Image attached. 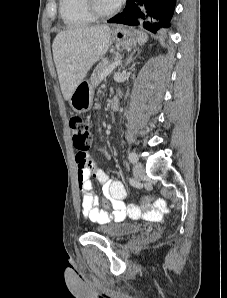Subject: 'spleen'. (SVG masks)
<instances>
[{"label": "spleen", "instance_id": "3e777b00", "mask_svg": "<svg viewBox=\"0 0 227 298\" xmlns=\"http://www.w3.org/2000/svg\"><path fill=\"white\" fill-rule=\"evenodd\" d=\"M138 36H139L138 40L140 44H144L148 39L147 34L142 31H138Z\"/></svg>", "mask_w": 227, "mask_h": 298}]
</instances>
